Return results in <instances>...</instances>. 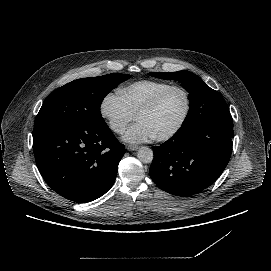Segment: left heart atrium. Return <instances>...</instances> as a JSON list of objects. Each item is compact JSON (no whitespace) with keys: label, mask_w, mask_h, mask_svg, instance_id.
Here are the masks:
<instances>
[{"label":"left heart atrium","mask_w":271,"mask_h":271,"mask_svg":"<svg viewBox=\"0 0 271 271\" xmlns=\"http://www.w3.org/2000/svg\"><path fill=\"white\" fill-rule=\"evenodd\" d=\"M154 138L148 126L143 122H136L124 136V141L131 144H141L151 141Z\"/></svg>","instance_id":"obj_1"}]
</instances>
